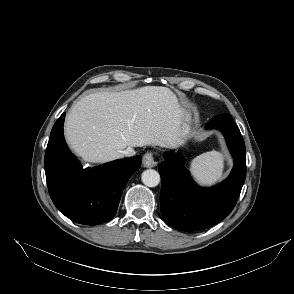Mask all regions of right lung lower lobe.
Returning a JSON list of instances; mask_svg holds the SVG:
<instances>
[{
    "label": "right lung lower lobe",
    "mask_w": 294,
    "mask_h": 294,
    "mask_svg": "<svg viewBox=\"0 0 294 294\" xmlns=\"http://www.w3.org/2000/svg\"><path fill=\"white\" fill-rule=\"evenodd\" d=\"M65 113L54 124L45 153V173L50 197L69 219L84 225L111 220L124 187L140 168L141 156L115 160L82 169L63 136Z\"/></svg>",
    "instance_id": "obj_1"
}]
</instances>
